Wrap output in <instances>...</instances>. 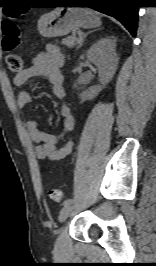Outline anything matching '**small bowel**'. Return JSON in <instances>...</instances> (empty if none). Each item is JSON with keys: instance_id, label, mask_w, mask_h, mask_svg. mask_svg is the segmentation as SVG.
<instances>
[{"instance_id": "small-bowel-1", "label": "small bowel", "mask_w": 156, "mask_h": 266, "mask_svg": "<svg viewBox=\"0 0 156 266\" xmlns=\"http://www.w3.org/2000/svg\"><path fill=\"white\" fill-rule=\"evenodd\" d=\"M63 63L64 57L60 49L54 45H49L45 52H41L34 57L32 64L28 68L16 74L14 77V84L19 87L34 78L45 77L51 84L52 93L63 101L60 107V115L64 121V127L61 133H47L35 120L27 122L29 135L32 141L36 143L34 149L35 155L40 160H62L73 149L72 141H66L63 145H59L60 141L75 125V118L71 108L64 102L66 90L63 85ZM31 101L32 97L28 91L20 90L18 92L16 103L19 108H24Z\"/></svg>"}]
</instances>
